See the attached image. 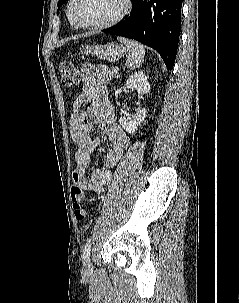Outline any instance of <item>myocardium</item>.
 <instances>
[{
  "mask_svg": "<svg viewBox=\"0 0 239 303\" xmlns=\"http://www.w3.org/2000/svg\"><path fill=\"white\" fill-rule=\"evenodd\" d=\"M80 0H73L71 12H72V17L74 22L78 27L88 29V30H100V29H105L112 27L119 22H121L131 11V0H123V9L122 11L113 19L103 22V23H97V24H86L84 23L79 15H78V5H79Z\"/></svg>",
  "mask_w": 239,
  "mask_h": 303,
  "instance_id": "1",
  "label": "myocardium"
}]
</instances>
